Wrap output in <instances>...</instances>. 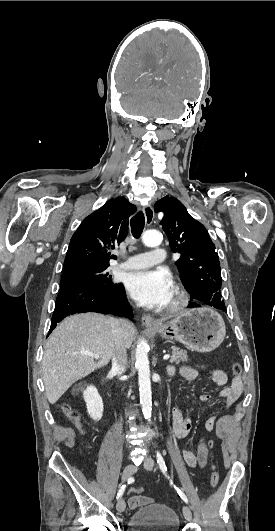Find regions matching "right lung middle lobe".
<instances>
[{
    "label": "right lung middle lobe",
    "instance_id": "dd1d6c3e",
    "mask_svg": "<svg viewBox=\"0 0 275 531\" xmlns=\"http://www.w3.org/2000/svg\"><path fill=\"white\" fill-rule=\"evenodd\" d=\"M108 266H79L63 271L61 284L66 282L81 281L99 287L108 288L115 285L111 276L106 273Z\"/></svg>",
    "mask_w": 275,
    "mask_h": 531
}]
</instances>
